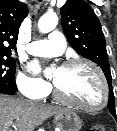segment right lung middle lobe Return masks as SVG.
I'll use <instances>...</instances> for the list:
<instances>
[{
	"instance_id": "obj_1",
	"label": "right lung middle lobe",
	"mask_w": 117,
	"mask_h": 131,
	"mask_svg": "<svg viewBox=\"0 0 117 131\" xmlns=\"http://www.w3.org/2000/svg\"><path fill=\"white\" fill-rule=\"evenodd\" d=\"M11 53L0 52V89L11 94L17 92L15 83V60L10 58Z\"/></svg>"
}]
</instances>
